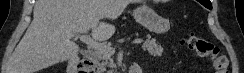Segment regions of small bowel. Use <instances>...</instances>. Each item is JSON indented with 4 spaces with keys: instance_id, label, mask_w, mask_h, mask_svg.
Segmentation results:
<instances>
[{
    "instance_id": "small-bowel-1",
    "label": "small bowel",
    "mask_w": 244,
    "mask_h": 73,
    "mask_svg": "<svg viewBox=\"0 0 244 73\" xmlns=\"http://www.w3.org/2000/svg\"><path fill=\"white\" fill-rule=\"evenodd\" d=\"M134 73H142L139 67H135V72Z\"/></svg>"
}]
</instances>
